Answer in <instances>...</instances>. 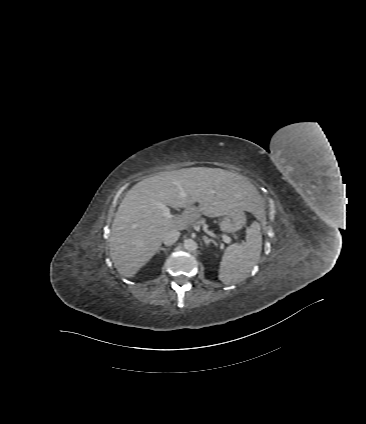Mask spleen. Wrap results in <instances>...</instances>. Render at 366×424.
Segmentation results:
<instances>
[{"label": "spleen", "mask_w": 366, "mask_h": 424, "mask_svg": "<svg viewBox=\"0 0 366 424\" xmlns=\"http://www.w3.org/2000/svg\"><path fill=\"white\" fill-rule=\"evenodd\" d=\"M262 220L263 216L257 217ZM262 251L260 224L253 222L246 231L244 244L229 245L222 256L219 267V279L225 285L239 283L247 278Z\"/></svg>", "instance_id": "3e777b00"}]
</instances>
